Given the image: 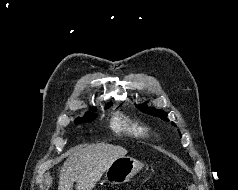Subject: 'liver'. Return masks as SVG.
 <instances>
[{
    "label": "liver",
    "instance_id": "6515ba94",
    "mask_svg": "<svg viewBox=\"0 0 238 190\" xmlns=\"http://www.w3.org/2000/svg\"><path fill=\"white\" fill-rule=\"evenodd\" d=\"M128 151L107 143L78 148L69 154L60 170L58 190H92L107 168Z\"/></svg>",
    "mask_w": 238,
    "mask_h": 190
}]
</instances>
